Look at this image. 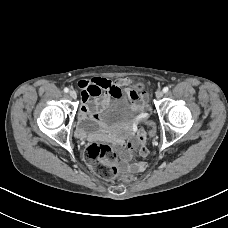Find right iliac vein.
<instances>
[{
  "label": "right iliac vein",
  "instance_id": "obj_1",
  "mask_svg": "<svg viewBox=\"0 0 228 228\" xmlns=\"http://www.w3.org/2000/svg\"><path fill=\"white\" fill-rule=\"evenodd\" d=\"M69 95H70V97H71L72 99H76V98H77V94H76V92H75L74 90H71V91L69 92Z\"/></svg>",
  "mask_w": 228,
  "mask_h": 228
}]
</instances>
